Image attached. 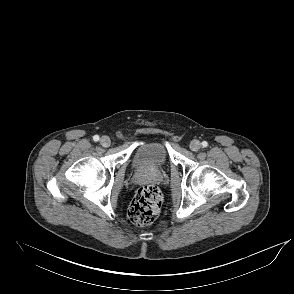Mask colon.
Instances as JSON below:
<instances>
[{"label": "colon", "instance_id": "colon-1", "mask_svg": "<svg viewBox=\"0 0 294 294\" xmlns=\"http://www.w3.org/2000/svg\"><path fill=\"white\" fill-rule=\"evenodd\" d=\"M162 195L154 185H145L135 194L129 209V219L137 226L153 223L160 214Z\"/></svg>", "mask_w": 294, "mask_h": 294}]
</instances>
